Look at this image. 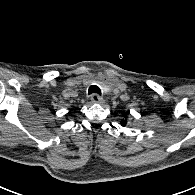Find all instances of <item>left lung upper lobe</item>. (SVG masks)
Listing matches in <instances>:
<instances>
[{
	"instance_id": "left-lung-upper-lobe-1",
	"label": "left lung upper lobe",
	"mask_w": 195,
	"mask_h": 195,
	"mask_svg": "<svg viewBox=\"0 0 195 195\" xmlns=\"http://www.w3.org/2000/svg\"><path fill=\"white\" fill-rule=\"evenodd\" d=\"M123 116H124V118L126 119V114H124ZM125 119L121 120V125H122V126H125L126 123H127Z\"/></svg>"
}]
</instances>
